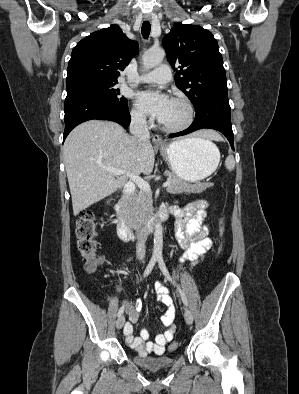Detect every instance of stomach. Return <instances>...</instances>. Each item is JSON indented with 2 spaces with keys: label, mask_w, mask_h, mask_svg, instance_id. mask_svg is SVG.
<instances>
[{
  "label": "stomach",
  "mask_w": 299,
  "mask_h": 394,
  "mask_svg": "<svg viewBox=\"0 0 299 394\" xmlns=\"http://www.w3.org/2000/svg\"><path fill=\"white\" fill-rule=\"evenodd\" d=\"M160 152L173 174L187 182H198L210 176L220 161L216 145L199 137L174 141L162 147Z\"/></svg>",
  "instance_id": "obj_1"
}]
</instances>
